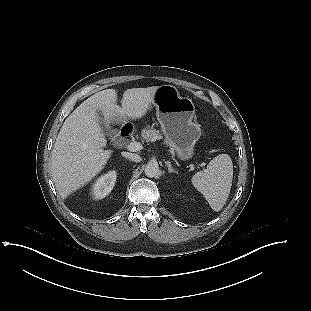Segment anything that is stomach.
I'll return each mask as SVG.
<instances>
[{"label":"stomach","instance_id":"obj_1","mask_svg":"<svg viewBox=\"0 0 311 311\" xmlns=\"http://www.w3.org/2000/svg\"><path fill=\"white\" fill-rule=\"evenodd\" d=\"M151 104L156 108L161 131L178 158H192L194 146L201 136L200 125L193 122V101L182 97L174 87L164 85L157 89Z\"/></svg>","mask_w":311,"mask_h":311}]
</instances>
